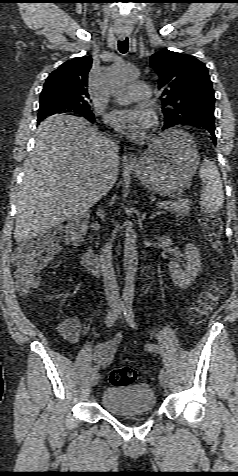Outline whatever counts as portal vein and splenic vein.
Here are the masks:
<instances>
[{"mask_svg":"<svg viewBox=\"0 0 238 476\" xmlns=\"http://www.w3.org/2000/svg\"><path fill=\"white\" fill-rule=\"evenodd\" d=\"M170 203H171V201H162V202H158V203H157V206L162 207V206H166V205H168V204H170Z\"/></svg>","mask_w":238,"mask_h":476,"instance_id":"obj_1","label":"portal vein and splenic vein"}]
</instances>
